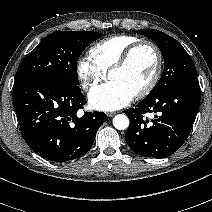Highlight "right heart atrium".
<instances>
[{
    "instance_id": "1",
    "label": "right heart atrium",
    "mask_w": 212,
    "mask_h": 212,
    "mask_svg": "<svg viewBox=\"0 0 212 212\" xmlns=\"http://www.w3.org/2000/svg\"><path fill=\"white\" fill-rule=\"evenodd\" d=\"M76 74L82 89L85 91L92 89L106 78V73L88 57L78 59Z\"/></svg>"
}]
</instances>
